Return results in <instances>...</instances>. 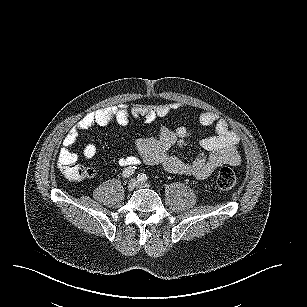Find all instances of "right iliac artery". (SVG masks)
<instances>
[{
    "label": "right iliac artery",
    "mask_w": 307,
    "mask_h": 307,
    "mask_svg": "<svg viewBox=\"0 0 307 307\" xmlns=\"http://www.w3.org/2000/svg\"><path fill=\"white\" fill-rule=\"evenodd\" d=\"M134 172H135V167L130 166V167L125 168L122 172L123 179L130 177L132 174H134Z\"/></svg>",
    "instance_id": "right-iliac-artery-1"
}]
</instances>
